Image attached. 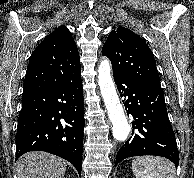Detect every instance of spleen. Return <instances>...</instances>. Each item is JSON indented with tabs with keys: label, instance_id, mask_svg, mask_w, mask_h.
Segmentation results:
<instances>
[{
	"label": "spleen",
	"instance_id": "obj_1",
	"mask_svg": "<svg viewBox=\"0 0 194 178\" xmlns=\"http://www.w3.org/2000/svg\"><path fill=\"white\" fill-rule=\"evenodd\" d=\"M135 178H177L173 163L162 157L142 156L132 161Z\"/></svg>",
	"mask_w": 194,
	"mask_h": 178
}]
</instances>
